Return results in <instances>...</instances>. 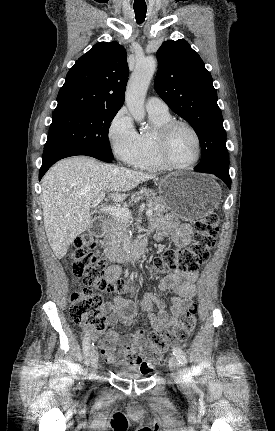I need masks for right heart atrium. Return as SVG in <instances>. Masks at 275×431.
<instances>
[{
    "instance_id": "right-heart-atrium-1",
    "label": "right heart atrium",
    "mask_w": 275,
    "mask_h": 431,
    "mask_svg": "<svg viewBox=\"0 0 275 431\" xmlns=\"http://www.w3.org/2000/svg\"><path fill=\"white\" fill-rule=\"evenodd\" d=\"M108 139L114 155L125 164L132 165L141 153V135L124 108L112 118L108 127Z\"/></svg>"
}]
</instances>
